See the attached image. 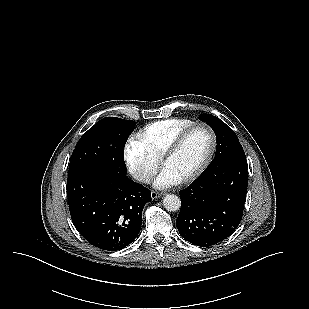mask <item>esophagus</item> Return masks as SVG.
<instances>
[{
	"label": "esophagus",
	"instance_id": "obj_1",
	"mask_svg": "<svg viewBox=\"0 0 309 309\" xmlns=\"http://www.w3.org/2000/svg\"><path fill=\"white\" fill-rule=\"evenodd\" d=\"M162 196V193H159V192H157V191H152L151 192V197H152V199H156V198H159V197H161Z\"/></svg>",
	"mask_w": 309,
	"mask_h": 309
}]
</instances>
